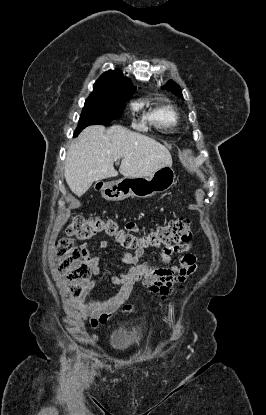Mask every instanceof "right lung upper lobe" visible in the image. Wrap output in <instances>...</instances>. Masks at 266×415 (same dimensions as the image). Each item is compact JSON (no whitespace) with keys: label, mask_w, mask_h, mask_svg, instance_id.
Here are the masks:
<instances>
[{"label":"right lung upper lobe","mask_w":266,"mask_h":415,"mask_svg":"<svg viewBox=\"0 0 266 415\" xmlns=\"http://www.w3.org/2000/svg\"><path fill=\"white\" fill-rule=\"evenodd\" d=\"M136 87L130 79L124 77L118 70H110L103 73L94 84V91L89 97H112L118 95H133Z\"/></svg>","instance_id":"right-lung-upper-lobe-1"}]
</instances>
